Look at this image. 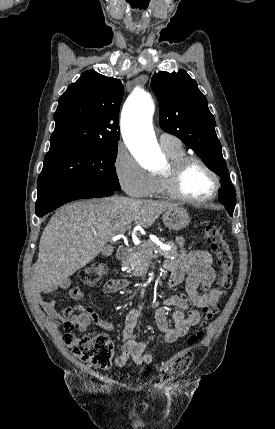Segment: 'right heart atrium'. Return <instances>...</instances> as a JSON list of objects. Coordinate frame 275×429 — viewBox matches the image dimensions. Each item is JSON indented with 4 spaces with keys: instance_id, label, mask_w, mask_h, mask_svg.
Returning a JSON list of instances; mask_svg holds the SVG:
<instances>
[{
    "instance_id": "d8ad5b80",
    "label": "right heart atrium",
    "mask_w": 275,
    "mask_h": 429,
    "mask_svg": "<svg viewBox=\"0 0 275 429\" xmlns=\"http://www.w3.org/2000/svg\"><path fill=\"white\" fill-rule=\"evenodd\" d=\"M114 170L119 184L129 195L145 197L151 194L154 176L124 146H119L116 151Z\"/></svg>"
}]
</instances>
